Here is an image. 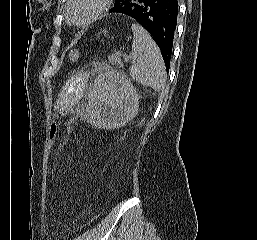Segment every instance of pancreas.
Returning a JSON list of instances; mask_svg holds the SVG:
<instances>
[{
  "label": "pancreas",
  "instance_id": "1",
  "mask_svg": "<svg viewBox=\"0 0 257 240\" xmlns=\"http://www.w3.org/2000/svg\"><path fill=\"white\" fill-rule=\"evenodd\" d=\"M109 62L112 64V65H117L119 67H123V63L120 59V55L118 53H115V54H112L110 57H109Z\"/></svg>",
  "mask_w": 257,
  "mask_h": 240
}]
</instances>
